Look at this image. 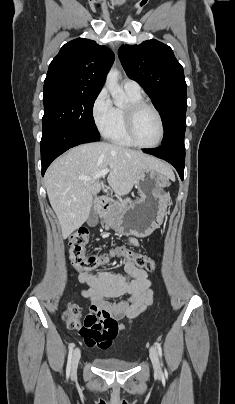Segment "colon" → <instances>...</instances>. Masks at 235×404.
<instances>
[{"instance_id": "colon-1", "label": "colon", "mask_w": 235, "mask_h": 404, "mask_svg": "<svg viewBox=\"0 0 235 404\" xmlns=\"http://www.w3.org/2000/svg\"><path fill=\"white\" fill-rule=\"evenodd\" d=\"M89 240V231L85 228L79 229L69 239L70 259L72 264L81 270L92 271L104 264L105 255L87 254L86 244ZM113 254L123 257L127 262L139 268L152 271L155 268V260L151 257L135 253L128 248H116ZM80 309L74 305H69L64 313V320L70 328H85L89 333L100 332L109 343L116 335L113 331L114 321L106 315L88 314L81 326Z\"/></svg>"}]
</instances>
